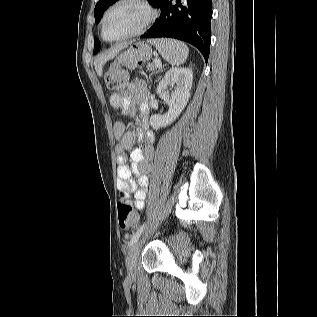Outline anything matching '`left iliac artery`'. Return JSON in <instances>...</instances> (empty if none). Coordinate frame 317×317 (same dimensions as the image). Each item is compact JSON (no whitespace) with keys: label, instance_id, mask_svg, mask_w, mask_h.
I'll use <instances>...</instances> for the list:
<instances>
[{"label":"left iliac artery","instance_id":"44dca946","mask_svg":"<svg viewBox=\"0 0 317 317\" xmlns=\"http://www.w3.org/2000/svg\"><path fill=\"white\" fill-rule=\"evenodd\" d=\"M146 227V223H144L137 231L136 233H134L130 239V242L128 244V246L130 247L134 242H136L139 237L141 236L142 232L144 231Z\"/></svg>","mask_w":317,"mask_h":317}]
</instances>
